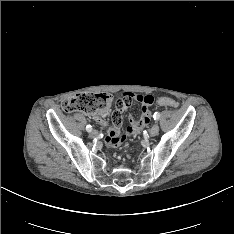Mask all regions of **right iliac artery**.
I'll list each match as a JSON object with an SVG mask.
<instances>
[{
  "label": "right iliac artery",
  "instance_id": "right-iliac-artery-1",
  "mask_svg": "<svg viewBox=\"0 0 234 234\" xmlns=\"http://www.w3.org/2000/svg\"><path fill=\"white\" fill-rule=\"evenodd\" d=\"M86 130H87L88 132H91V131H92V126H91V125H87Z\"/></svg>",
  "mask_w": 234,
  "mask_h": 234
}]
</instances>
